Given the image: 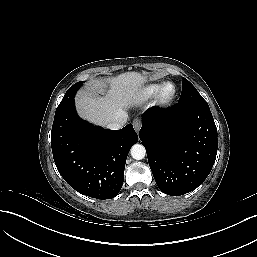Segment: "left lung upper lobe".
I'll use <instances>...</instances> for the list:
<instances>
[{
  "label": "left lung upper lobe",
  "instance_id": "1",
  "mask_svg": "<svg viewBox=\"0 0 257 257\" xmlns=\"http://www.w3.org/2000/svg\"><path fill=\"white\" fill-rule=\"evenodd\" d=\"M176 105L179 107L190 105L208 106L197 89L186 78H183L181 97Z\"/></svg>",
  "mask_w": 257,
  "mask_h": 257
}]
</instances>
